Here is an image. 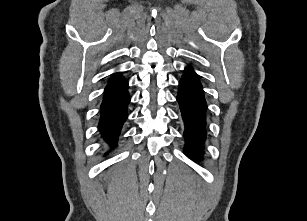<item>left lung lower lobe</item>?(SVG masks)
<instances>
[{
  "instance_id": "left-lung-lower-lobe-1",
  "label": "left lung lower lobe",
  "mask_w": 307,
  "mask_h": 221,
  "mask_svg": "<svg viewBox=\"0 0 307 221\" xmlns=\"http://www.w3.org/2000/svg\"><path fill=\"white\" fill-rule=\"evenodd\" d=\"M177 101L180 105L185 123V148L184 153L191 158L202 156L201 145L205 140V112L206 101L203 95L202 85L197 74L186 68L179 82Z\"/></svg>"
}]
</instances>
